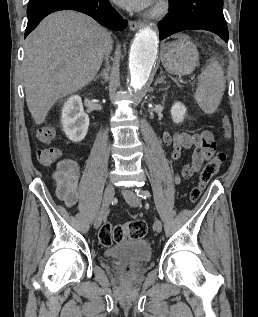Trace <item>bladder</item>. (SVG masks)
Wrapping results in <instances>:
<instances>
[{
    "mask_svg": "<svg viewBox=\"0 0 258 317\" xmlns=\"http://www.w3.org/2000/svg\"><path fill=\"white\" fill-rule=\"evenodd\" d=\"M152 254L150 244L143 239H134L107 248L104 255L107 258L128 260L133 262H145Z\"/></svg>",
    "mask_w": 258,
    "mask_h": 317,
    "instance_id": "obj_1",
    "label": "bladder"
}]
</instances>
